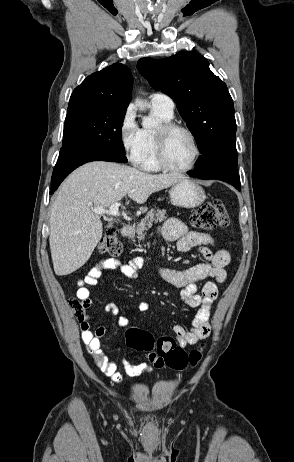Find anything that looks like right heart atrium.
<instances>
[{"label":"right heart atrium","mask_w":294,"mask_h":462,"mask_svg":"<svg viewBox=\"0 0 294 462\" xmlns=\"http://www.w3.org/2000/svg\"><path fill=\"white\" fill-rule=\"evenodd\" d=\"M118 132L121 147L128 161L133 165H139L143 151V142L141 129L136 122L135 113L131 107H128L124 111L119 123Z\"/></svg>","instance_id":"d8ad5b80"}]
</instances>
